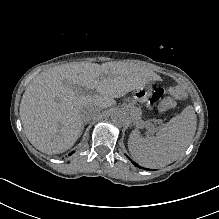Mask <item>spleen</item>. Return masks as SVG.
<instances>
[{
	"label": "spleen",
	"instance_id": "1",
	"mask_svg": "<svg viewBox=\"0 0 219 219\" xmlns=\"http://www.w3.org/2000/svg\"><path fill=\"white\" fill-rule=\"evenodd\" d=\"M197 126L193 107L167 122L154 137L133 131L128 140L133 159L146 168H161L176 161L191 143Z\"/></svg>",
	"mask_w": 219,
	"mask_h": 219
}]
</instances>
